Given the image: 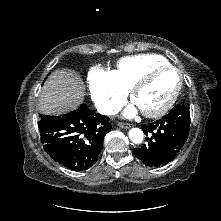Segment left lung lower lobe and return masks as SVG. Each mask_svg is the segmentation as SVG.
Masks as SVG:
<instances>
[{
  "mask_svg": "<svg viewBox=\"0 0 221 221\" xmlns=\"http://www.w3.org/2000/svg\"><path fill=\"white\" fill-rule=\"evenodd\" d=\"M190 112L178 104L161 119L141 126L147 143L134 149L135 156L149 167L163 166L174 159L187 140Z\"/></svg>",
  "mask_w": 221,
  "mask_h": 221,
  "instance_id": "1",
  "label": "left lung lower lobe"
}]
</instances>
